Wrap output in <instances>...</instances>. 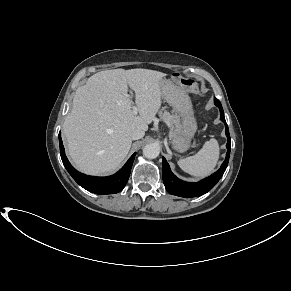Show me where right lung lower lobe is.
<instances>
[{
  "label": "right lung lower lobe",
  "instance_id": "obj_1",
  "mask_svg": "<svg viewBox=\"0 0 291 291\" xmlns=\"http://www.w3.org/2000/svg\"><path fill=\"white\" fill-rule=\"evenodd\" d=\"M59 143L60 155L65 168L73 179L84 189L96 194H115L121 191L126 185L136 153L129 158L126 164L116 174L108 177H94L82 174L72 167L65 155L60 133Z\"/></svg>",
  "mask_w": 291,
  "mask_h": 291
}]
</instances>
